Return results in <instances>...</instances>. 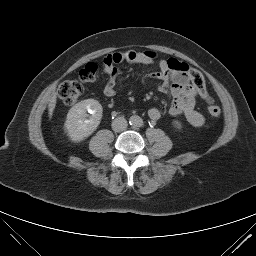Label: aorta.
<instances>
[{"label":"aorta","mask_w":256,"mask_h":256,"mask_svg":"<svg viewBox=\"0 0 256 256\" xmlns=\"http://www.w3.org/2000/svg\"><path fill=\"white\" fill-rule=\"evenodd\" d=\"M129 123L131 126H139L142 123V119L137 115H133L129 118Z\"/></svg>","instance_id":"1"}]
</instances>
